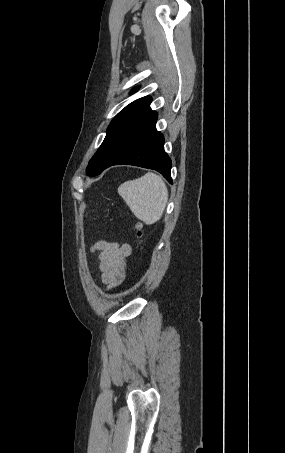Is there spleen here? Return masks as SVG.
I'll list each match as a JSON object with an SVG mask.
<instances>
[{"mask_svg":"<svg viewBox=\"0 0 285 453\" xmlns=\"http://www.w3.org/2000/svg\"><path fill=\"white\" fill-rule=\"evenodd\" d=\"M133 214L147 225L159 221L168 202V189L162 177L152 172L126 181L118 188Z\"/></svg>","mask_w":285,"mask_h":453,"instance_id":"1","label":"spleen"}]
</instances>
